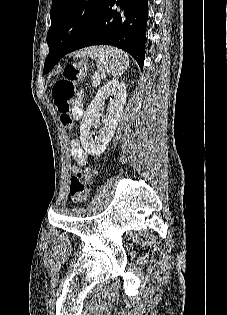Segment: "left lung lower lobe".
Segmentation results:
<instances>
[{"mask_svg": "<svg viewBox=\"0 0 227 315\" xmlns=\"http://www.w3.org/2000/svg\"><path fill=\"white\" fill-rule=\"evenodd\" d=\"M115 4L120 6L117 10ZM148 0H106L97 18L72 46L61 38L47 41L49 54L44 65L47 73L66 54L92 45H112L128 52L143 68L145 58Z\"/></svg>", "mask_w": 227, "mask_h": 315, "instance_id": "left-lung-lower-lobe-1", "label": "left lung lower lobe"}]
</instances>
